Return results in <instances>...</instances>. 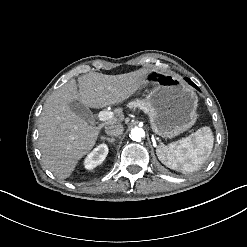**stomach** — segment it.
<instances>
[{
    "mask_svg": "<svg viewBox=\"0 0 247 247\" xmlns=\"http://www.w3.org/2000/svg\"><path fill=\"white\" fill-rule=\"evenodd\" d=\"M147 88L146 102L157 134L172 138L195 124L198 96L182 76L148 68L138 89Z\"/></svg>",
    "mask_w": 247,
    "mask_h": 247,
    "instance_id": "0dacf381",
    "label": "stomach"
}]
</instances>
